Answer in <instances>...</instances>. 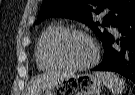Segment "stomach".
Wrapping results in <instances>:
<instances>
[{"label":"stomach","mask_w":135,"mask_h":95,"mask_svg":"<svg viewBox=\"0 0 135 95\" xmlns=\"http://www.w3.org/2000/svg\"><path fill=\"white\" fill-rule=\"evenodd\" d=\"M102 80L96 74L72 73L45 90L43 95H96Z\"/></svg>","instance_id":"0dacf381"}]
</instances>
